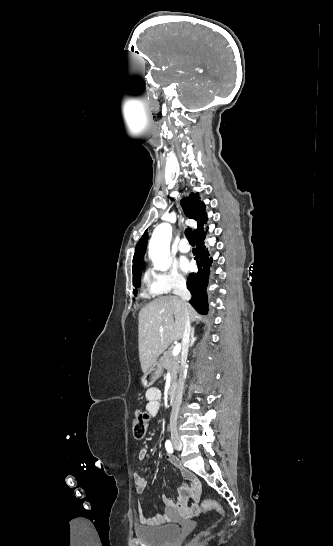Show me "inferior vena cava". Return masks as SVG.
Listing matches in <instances>:
<instances>
[{
    "label": "inferior vena cava",
    "mask_w": 333,
    "mask_h": 546,
    "mask_svg": "<svg viewBox=\"0 0 333 546\" xmlns=\"http://www.w3.org/2000/svg\"><path fill=\"white\" fill-rule=\"evenodd\" d=\"M173 293L175 295L179 296L185 302V305H186V311H185V315H184V331H183V337H182V344H183L182 354H183V357L185 359L186 356H187L189 343H190V335H191V321H190V317H189L188 310H187V305H188L187 301L190 300L191 294H190V292L188 291V289L186 287L185 280L176 279L174 281ZM185 378H186L185 368L183 366L182 370H181L180 377H179V383H178V387H177L176 397H175V400H174V403H173V406H172L171 415H170L169 428H170L171 431H176L177 430V417H178L180 405H181V402H182V395H183V390H184Z\"/></svg>",
    "instance_id": "obj_1"
}]
</instances>
